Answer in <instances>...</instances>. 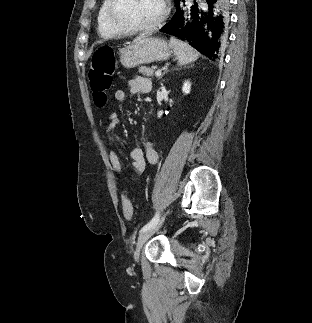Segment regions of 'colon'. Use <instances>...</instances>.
Segmentation results:
<instances>
[{
    "mask_svg": "<svg viewBox=\"0 0 312 323\" xmlns=\"http://www.w3.org/2000/svg\"><path fill=\"white\" fill-rule=\"evenodd\" d=\"M89 71L93 100L97 105H104L108 100L107 91L113 85L115 75V53L111 46L99 47L92 56ZM124 217H133L134 207L129 195L123 201Z\"/></svg>",
    "mask_w": 312,
    "mask_h": 323,
    "instance_id": "5ec220e1",
    "label": "colon"
}]
</instances>
